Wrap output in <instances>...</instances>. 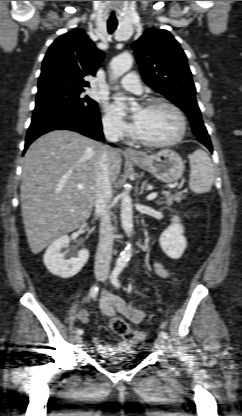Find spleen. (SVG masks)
<instances>
[{"instance_id": "obj_1", "label": "spleen", "mask_w": 242, "mask_h": 416, "mask_svg": "<svg viewBox=\"0 0 242 416\" xmlns=\"http://www.w3.org/2000/svg\"><path fill=\"white\" fill-rule=\"evenodd\" d=\"M189 187L194 193L208 192L214 183V166L208 154L198 149L190 157Z\"/></svg>"}]
</instances>
